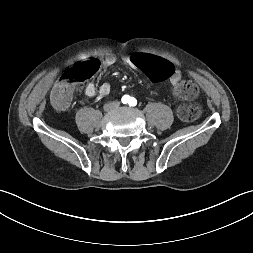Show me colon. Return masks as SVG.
<instances>
[{
	"instance_id": "obj_1",
	"label": "colon",
	"mask_w": 253,
	"mask_h": 253,
	"mask_svg": "<svg viewBox=\"0 0 253 253\" xmlns=\"http://www.w3.org/2000/svg\"><path fill=\"white\" fill-rule=\"evenodd\" d=\"M133 61L138 68L144 70L152 80H158L173 73L171 64L163 62L152 53L137 52L133 56ZM100 62L97 59L83 61L67 70L52 90L54 104L61 109L69 105L71 99L72 85L94 76L99 70ZM177 96L190 99L197 95L198 88L191 81H180L174 88ZM179 117L186 122H191L199 118L201 108L198 104H183L178 109Z\"/></svg>"
}]
</instances>
